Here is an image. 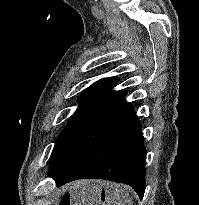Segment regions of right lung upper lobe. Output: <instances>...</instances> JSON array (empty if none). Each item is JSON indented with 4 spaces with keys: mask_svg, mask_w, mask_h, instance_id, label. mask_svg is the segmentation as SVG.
Listing matches in <instances>:
<instances>
[{
    "mask_svg": "<svg viewBox=\"0 0 199 205\" xmlns=\"http://www.w3.org/2000/svg\"><path fill=\"white\" fill-rule=\"evenodd\" d=\"M116 83V78H104L85 89L77 111H93L124 121L135 116L134 107L124 99L125 93L112 90Z\"/></svg>",
    "mask_w": 199,
    "mask_h": 205,
    "instance_id": "1",
    "label": "right lung upper lobe"
}]
</instances>
